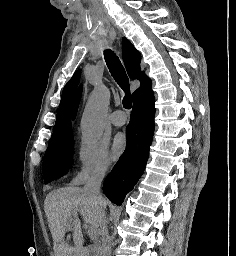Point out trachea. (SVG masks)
I'll list each match as a JSON object with an SVG mask.
<instances>
[{
  "label": "trachea",
  "mask_w": 236,
  "mask_h": 256,
  "mask_svg": "<svg viewBox=\"0 0 236 256\" xmlns=\"http://www.w3.org/2000/svg\"><path fill=\"white\" fill-rule=\"evenodd\" d=\"M104 58L113 78L125 92V96L123 98V107L127 110H130L132 107V96L130 94L129 79L125 69L113 51L106 50L104 53Z\"/></svg>",
  "instance_id": "1"
}]
</instances>
